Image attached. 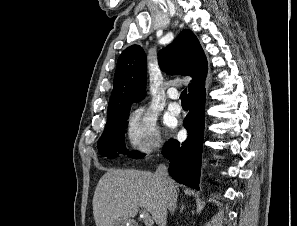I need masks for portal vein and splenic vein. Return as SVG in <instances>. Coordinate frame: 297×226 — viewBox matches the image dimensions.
<instances>
[{"instance_id": "18ae733b", "label": "portal vein and splenic vein", "mask_w": 297, "mask_h": 226, "mask_svg": "<svg viewBox=\"0 0 297 226\" xmlns=\"http://www.w3.org/2000/svg\"><path fill=\"white\" fill-rule=\"evenodd\" d=\"M140 217L143 218L145 225L150 226L151 224H153V220L150 217V215L147 213V211L143 210Z\"/></svg>"}]
</instances>
